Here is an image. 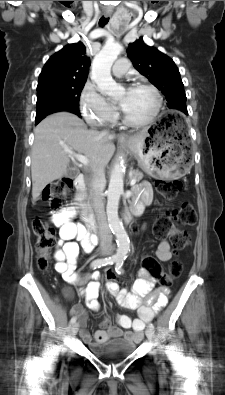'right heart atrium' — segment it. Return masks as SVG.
Masks as SVG:
<instances>
[{"mask_svg": "<svg viewBox=\"0 0 225 395\" xmlns=\"http://www.w3.org/2000/svg\"><path fill=\"white\" fill-rule=\"evenodd\" d=\"M84 119L94 126H106L115 119V112L92 83H86L80 96Z\"/></svg>", "mask_w": 225, "mask_h": 395, "instance_id": "obj_1", "label": "right heart atrium"}]
</instances>
